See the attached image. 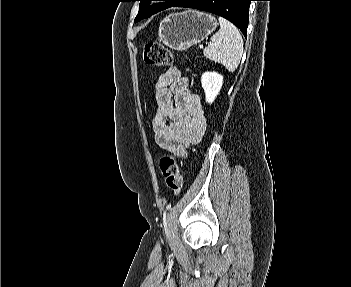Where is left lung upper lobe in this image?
Instances as JSON below:
<instances>
[{"mask_svg": "<svg viewBox=\"0 0 351 287\" xmlns=\"http://www.w3.org/2000/svg\"><path fill=\"white\" fill-rule=\"evenodd\" d=\"M140 1L139 12L135 18V22H138L144 18H148L162 10L172 7L179 0H137ZM151 1H164L163 3L149 5Z\"/></svg>", "mask_w": 351, "mask_h": 287, "instance_id": "5c2ea615", "label": "left lung upper lobe"}]
</instances>
